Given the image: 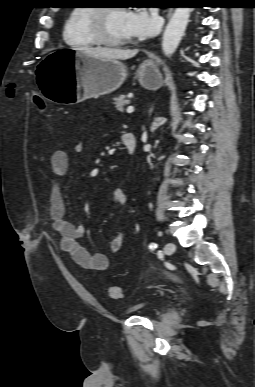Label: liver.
I'll return each instance as SVG.
<instances>
[{"label": "liver", "instance_id": "obj_1", "mask_svg": "<svg viewBox=\"0 0 255 387\" xmlns=\"http://www.w3.org/2000/svg\"><path fill=\"white\" fill-rule=\"evenodd\" d=\"M79 51L96 57V58H104L109 60H127L133 58L137 55L138 50H130V49H114V48H103V47H82Z\"/></svg>", "mask_w": 255, "mask_h": 387}]
</instances>
